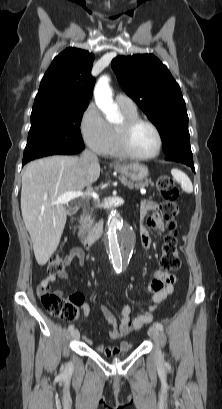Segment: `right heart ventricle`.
<instances>
[{
  "label": "right heart ventricle",
  "mask_w": 222,
  "mask_h": 409,
  "mask_svg": "<svg viewBox=\"0 0 222 409\" xmlns=\"http://www.w3.org/2000/svg\"><path fill=\"white\" fill-rule=\"evenodd\" d=\"M121 112L123 113L125 118H134V117H138V112L137 110H127L124 108H121ZM111 129V134H112V140L111 143L109 145V147L107 148L105 154L108 155H112V156H122V152L119 149L118 146V142H117V133H116V129L115 127H110Z\"/></svg>",
  "instance_id": "obj_1"
}]
</instances>
